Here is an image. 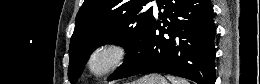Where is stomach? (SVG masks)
Returning a JSON list of instances; mask_svg holds the SVG:
<instances>
[{"label": "stomach", "mask_w": 260, "mask_h": 84, "mask_svg": "<svg viewBox=\"0 0 260 84\" xmlns=\"http://www.w3.org/2000/svg\"><path fill=\"white\" fill-rule=\"evenodd\" d=\"M130 84H169L168 81L160 74H148Z\"/></svg>", "instance_id": "1"}]
</instances>
